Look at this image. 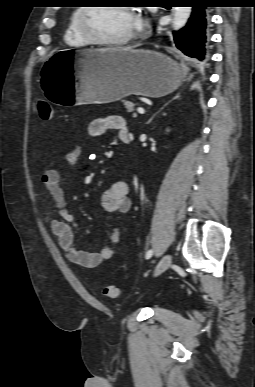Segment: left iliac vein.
I'll use <instances>...</instances> for the list:
<instances>
[{
  "instance_id": "obj_1",
  "label": "left iliac vein",
  "mask_w": 255,
  "mask_h": 387,
  "mask_svg": "<svg viewBox=\"0 0 255 387\" xmlns=\"http://www.w3.org/2000/svg\"><path fill=\"white\" fill-rule=\"evenodd\" d=\"M171 256L169 254L164 255L162 259L159 261L158 265L155 268L154 276H159L162 274L165 270L168 269V267L171 264Z\"/></svg>"
}]
</instances>
